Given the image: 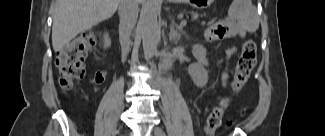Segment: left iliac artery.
I'll list each match as a JSON object with an SVG mask.
<instances>
[{"instance_id": "44dca946", "label": "left iliac artery", "mask_w": 325, "mask_h": 136, "mask_svg": "<svg viewBox=\"0 0 325 136\" xmlns=\"http://www.w3.org/2000/svg\"><path fill=\"white\" fill-rule=\"evenodd\" d=\"M159 134H160L161 136H165V133L162 131V129H160Z\"/></svg>"}]
</instances>
